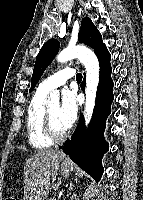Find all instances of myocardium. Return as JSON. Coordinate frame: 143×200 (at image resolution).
<instances>
[{
  "label": "myocardium",
  "mask_w": 143,
  "mask_h": 200,
  "mask_svg": "<svg viewBox=\"0 0 143 200\" xmlns=\"http://www.w3.org/2000/svg\"><path fill=\"white\" fill-rule=\"evenodd\" d=\"M42 131L43 134L47 139H49L52 142H60L64 140L68 134H69V129L64 131L61 134H58L54 131L51 123V117L49 113V109L45 108L44 114H43V120H42Z\"/></svg>",
  "instance_id": "myocardium-1"
}]
</instances>
